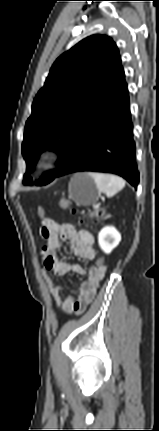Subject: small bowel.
Here are the masks:
<instances>
[{
	"label": "small bowel",
	"instance_id": "small-bowel-1",
	"mask_svg": "<svg viewBox=\"0 0 159 431\" xmlns=\"http://www.w3.org/2000/svg\"><path fill=\"white\" fill-rule=\"evenodd\" d=\"M41 235L46 240L42 247L41 255L44 262L45 270L54 276H64L69 272L84 274L85 269L79 264H71L59 260L57 250L60 248V240L68 242L74 254L85 260H92L96 256L94 249V237L88 231H78L68 223H58L53 219L46 218L42 221ZM107 273L106 263H97L89 269L88 278L78 287L74 288L67 296L63 303H60L61 309L66 313H80L94 299L100 282L105 278ZM47 287L49 292L56 298L64 291V287L55 283L47 276Z\"/></svg>",
	"mask_w": 159,
	"mask_h": 431
}]
</instances>
